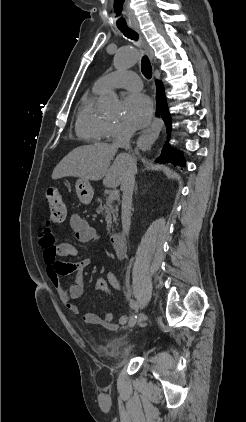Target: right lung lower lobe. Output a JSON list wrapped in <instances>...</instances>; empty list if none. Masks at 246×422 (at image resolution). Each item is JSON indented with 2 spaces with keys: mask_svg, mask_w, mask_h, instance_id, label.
<instances>
[{
  "mask_svg": "<svg viewBox=\"0 0 246 422\" xmlns=\"http://www.w3.org/2000/svg\"><path fill=\"white\" fill-rule=\"evenodd\" d=\"M156 86H157V94H156V100H157V111H156V115L162 117V119L165 122V125L167 127V133L168 136L167 138L169 139V133H170V126H171V121H170V115L168 112V107H167V103H166V98H165V94H164V88L161 82L156 81ZM156 162L158 163H173L174 165L178 164L182 167L185 166V161L184 158L182 156V154L180 152H177L176 150L172 149L169 145H168V140L166 141L161 155L160 157H158L156 159Z\"/></svg>",
  "mask_w": 246,
  "mask_h": 422,
  "instance_id": "1",
  "label": "right lung lower lobe"
}]
</instances>
